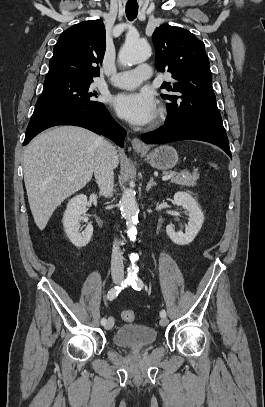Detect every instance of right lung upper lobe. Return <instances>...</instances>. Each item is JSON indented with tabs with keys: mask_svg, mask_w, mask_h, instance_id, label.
<instances>
[{
	"mask_svg": "<svg viewBox=\"0 0 265 407\" xmlns=\"http://www.w3.org/2000/svg\"><path fill=\"white\" fill-rule=\"evenodd\" d=\"M106 48L102 20H89L64 31L54 47L46 79L71 78L93 80L100 75L97 66Z\"/></svg>",
	"mask_w": 265,
	"mask_h": 407,
	"instance_id": "right-lung-upper-lobe-1",
	"label": "right lung upper lobe"
}]
</instances>
